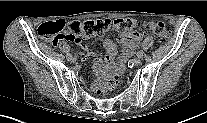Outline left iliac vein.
<instances>
[{"instance_id":"left-iliac-vein-1","label":"left iliac vein","mask_w":207,"mask_h":123,"mask_svg":"<svg viewBox=\"0 0 207 123\" xmlns=\"http://www.w3.org/2000/svg\"><path fill=\"white\" fill-rule=\"evenodd\" d=\"M133 63H134V65L135 66H139L140 64H141V58H135L134 60H133Z\"/></svg>"}]
</instances>
